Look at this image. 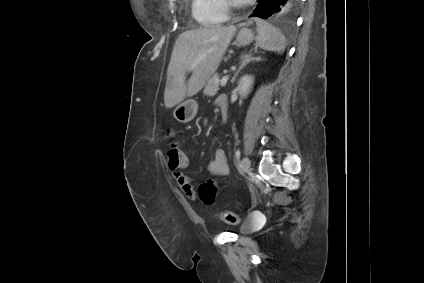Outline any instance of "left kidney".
<instances>
[{
	"instance_id": "5707ae66",
	"label": "left kidney",
	"mask_w": 424,
	"mask_h": 283,
	"mask_svg": "<svg viewBox=\"0 0 424 283\" xmlns=\"http://www.w3.org/2000/svg\"><path fill=\"white\" fill-rule=\"evenodd\" d=\"M252 85H253L252 76L245 75L239 80L237 90L239 91V94L241 96L245 97L250 92Z\"/></svg>"
}]
</instances>
